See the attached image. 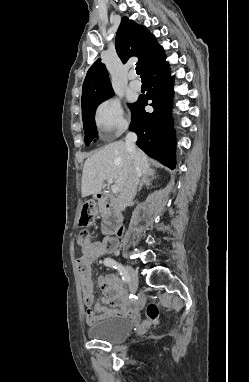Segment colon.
I'll use <instances>...</instances> for the list:
<instances>
[{
    "instance_id": "5ec220e1",
    "label": "colon",
    "mask_w": 249,
    "mask_h": 382,
    "mask_svg": "<svg viewBox=\"0 0 249 382\" xmlns=\"http://www.w3.org/2000/svg\"><path fill=\"white\" fill-rule=\"evenodd\" d=\"M95 205L93 203H85L82 207L79 224L81 227H88L91 225L95 218ZM78 244L81 247L87 246L90 241V234L88 231L83 230L78 235ZM146 321L142 323L143 329H148L149 326L156 325L159 320V310L155 303L150 302L146 307Z\"/></svg>"
}]
</instances>
